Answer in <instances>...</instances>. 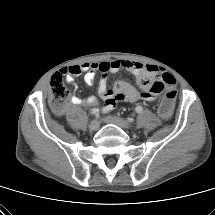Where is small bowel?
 <instances>
[{"instance_id":"1","label":"small bowel","mask_w":215,"mask_h":215,"mask_svg":"<svg viewBox=\"0 0 215 215\" xmlns=\"http://www.w3.org/2000/svg\"><path fill=\"white\" fill-rule=\"evenodd\" d=\"M120 69H126L136 77L139 89L125 81H117L112 89L108 87V73H115ZM82 73H84V81L87 85H93L96 74L100 73L98 95L104 102L102 108L104 113L113 110L117 102L134 103L139 100L155 102L160 93L152 91V86L156 81L161 80V76L164 74H161L160 68L156 65L131 60L83 63L64 67L60 70V74L64 75L67 82L71 84H74V79ZM70 103L79 106H95L98 104V99L95 96L82 99L74 94L70 97Z\"/></svg>"}]
</instances>
